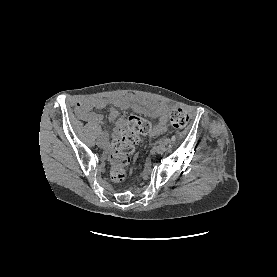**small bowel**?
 Segmentation results:
<instances>
[{"label": "small bowel", "mask_w": 277, "mask_h": 277, "mask_svg": "<svg viewBox=\"0 0 277 277\" xmlns=\"http://www.w3.org/2000/svg\"><path fill=\"white\" fill-rule=\"evenodd\" d=\"M108 104H112L114 106L109 110L108 120L110 123L114 122L115 134H117L125 124V120L118 117L119 112L117 108L130 109L138 113H147L151 117L156 118L157 122L151 130L150 136H158L166 130V116L168 113L167 105L145 100L135 95H119L111 99L87 98L79 101L76 104L75 110L81 120L103 125L105 124L103 117L92 112L91 110L92 108H104Z\"/></svg>", "instance_id": "obj_1"}]
</instances>
